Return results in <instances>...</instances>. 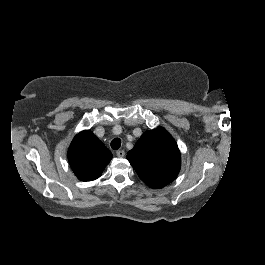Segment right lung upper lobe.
Returning a JSON list of instances; mask_svg holds the SVG:
<instances>
[{
	"label": "right lung upper lobe",
	"mask_w": 265,
	"mask_h": 265,
	"mask_svg": "<svg viewBox=\"0 0 265 265\" xmlns=\"http://www.w3.org/2000/svg\"><path fill=\"white\" fill-rule=\"evenodd\" d=\"M111 158L112 153L87 130L74 137L68 150L70 167L81 181H92L100 177Z\"/></svg>",
	"instance_id": "1"
}]
</instances>
